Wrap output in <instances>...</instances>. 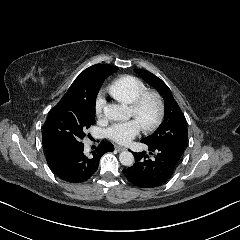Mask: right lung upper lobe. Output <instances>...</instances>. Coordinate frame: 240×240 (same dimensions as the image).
<instances>
[{"instance_id":"right-lung-upper-lobe-1","label":"right lung upper lobe","mask_w":240,"mask_h":240,"mask_svg":"<svg viewBox=\"0 0 240 240\" xmlns=\"http://www.w3.org/2000/svg\"><path fill=\"white\" fill-rule=\"evenodd\" d=\"M117 70V67L106 64H96L88 67L75 79L61 100L64 101L77 97L83 90L87 93L88 84H94L101 87L104 80Z\"/></svg>"}]
</instances>
